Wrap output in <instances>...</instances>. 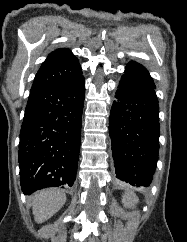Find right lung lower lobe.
<instances>
[{
    "instance_id": "98d812e1",
    "label": "right lung lower lobe",
    "mask_w": 187,
    "mask_h": 242,
    "mask_svg": "<svg viewBox=\"0 0 187 242\" xmlns=\"http://www.w3.org/2000/svg\"><path fill=\"white\" fill-rule=\"evenodd\" d=\"M85 81L77 78L30 92L20 132V184L25 195L72 186L80 151Z\"/></svg>"
}]
</instances>
